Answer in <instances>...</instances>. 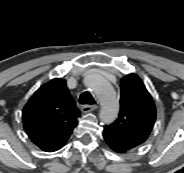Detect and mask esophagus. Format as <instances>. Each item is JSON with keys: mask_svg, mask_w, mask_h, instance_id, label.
<instances>
[{"mask_svg": "<svg viewBox=\"0 0 184 173\" xmlns=\"http://www.w3.org/2000/svg\"><path fill=\"white\" fill-rule=\"evenodd\" d=\"M97 108H98L97 105H84L82 106L81 111L83 113H89V112L95 111Z\"/></svg>", "mask_w": 184, "mask_h": 173, "instance_id": "1", "label": "esophagus"}]
</instances>
